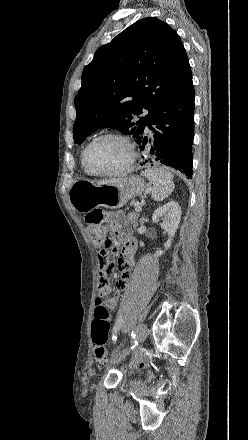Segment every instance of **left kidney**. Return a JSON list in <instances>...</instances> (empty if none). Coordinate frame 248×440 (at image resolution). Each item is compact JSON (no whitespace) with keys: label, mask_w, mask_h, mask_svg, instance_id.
Instances as JSON below:
<instances>
[{"label":"left kidney","mask_w":248,"mask_h":440,"mask_svg":"<svg viewBox=\"0 0 248 440\" xmlns=\"http://www.w3.org/2000/svg\"><path fill=\"white\" fill-rule=\"evenodd\" d=\"M152 219L155 222L162 220L160 226L169 236L164 247L166 250L169 249L181 219V208L179 204L176 201H170L166 205L157 208L153 213ZM163 253L164 251L162 250L156 251L155 256H161Z\"/></svg>","instance_id":"5707ae66"}]
</instances>
